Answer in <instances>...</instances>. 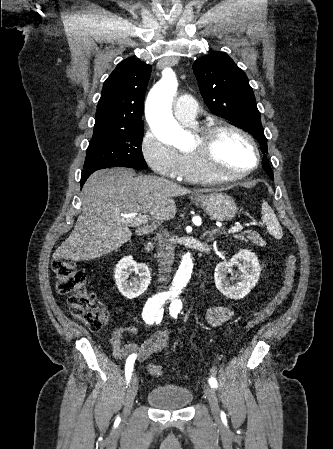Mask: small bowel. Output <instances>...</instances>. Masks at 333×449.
Wrapping results in <instances>:
<instances>
[{
    "mask_svg": "<svg viewBox=\"0 0 333 449\" xmlns=\"http://www.w3.org/2000/svg\"><path fill=\"white\" fill-rule=\"evenodd\" d=\"M232 310L223 305L211 307L207 311V320L212 325H219L231 318ZM136 326L116 327L112 331L109 344L115 358H128L135 354L144 359L165 350L169 345V333L166 330L156 331L141 344L124 340L126 334H135Z\"/></svg>",
    "mask_w": 333,
    "mask_h": 449,
    "instance_id": "obj_1",
    "label": "small bowel"
}]
</instances>
